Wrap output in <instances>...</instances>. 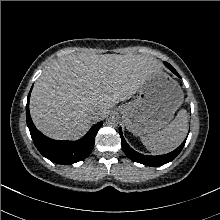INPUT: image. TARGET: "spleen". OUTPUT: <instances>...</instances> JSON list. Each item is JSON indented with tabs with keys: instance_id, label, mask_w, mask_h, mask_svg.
I'll return each instance as SVG.
<instances>
[{
	"instance_id": "obj_1",
	"label": "spleen",
	"mask_w": 220,
	"mask_h": 220,
	"mask_svg": "<svg viewBox=\"0 0 220 220\" xmlns=\"http://www.w3.org/2000/svg\"><path fill=\"white\" fill-rule=\"evenodd\" d=\"M188 131L187 111L182 109L164 129L141 136L143 145L155 154H164L177 148Z\"/></svg>"
}]
</instances>
